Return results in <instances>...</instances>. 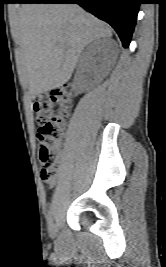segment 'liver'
<instances>
[{
    "label": "liver",
    "mask_w": 166,
    "mask_h": 267,
    "mask_svg": "<svg viewBox=\"0 0 166 267\" xmlns=\"http://www.w3.org/2000/svg\"><path fill=\"white\" fill-rule=\"evenodd\" d=\"M20 78L33 97L68 82L84 47L111 28L77 4H24L13 26Z\"/></svg>",
    "instance_id": "6515ba94"
}]
</instances>
